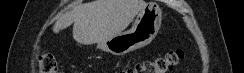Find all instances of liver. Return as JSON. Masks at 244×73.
<instances>
[{"label":"liver","mask_w":244,"mask_h":73,"mask_svg":"<svg viewBox=\"0 0 244 73\" xmlns=\"http://www.w3.org/2000/svg\"><path fill=\"white\" fill-rule=\"evenodd\" d=\"M144 0H94L77 4L53 26L58 33L73 25V38L84 45L99 43L120 34L145 7Z\"/></svg>","instance_id":"liver-1"}]
</instances>
